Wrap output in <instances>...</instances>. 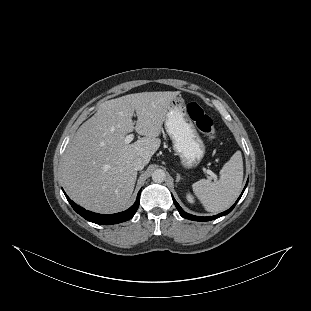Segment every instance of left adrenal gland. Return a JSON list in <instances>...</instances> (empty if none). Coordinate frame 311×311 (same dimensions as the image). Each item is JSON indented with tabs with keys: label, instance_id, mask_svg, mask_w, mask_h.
Returning a JSON list of instances; mask_svg holds the SVG:
<instances>
[{
	"label": "left adrenal gland",
	"instance_id": "obj_1",
	"mask_svg": "<svg viewBox=\"0 0 311 311\" xmlns=\"http://www.w3.org/2000/svg\"><path fill=\"white\" fill-rule=\"evenodd\" d=\"M176 181H177V183L179 184V183H183V184H185V182H184V180L182 179H180V175L179 174H177V177H176Z\"/></svg>",
	"mask_w": 311,
	"mask_h": 311
}]
</instances>
